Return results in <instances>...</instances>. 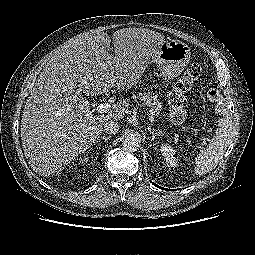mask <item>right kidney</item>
<instances>
[{
    "label": "right kidney",
    "mask_w": 255,
    "mask_h": 255,
    "mask_svg": "<svg viewBox=\"0 0 255 255\" xmlns=\"http://www.w3.org/2000/svg\"><path fill=\"white\" fill-rule=\"evenodd\" d=\"M89 161V158L88 157H81L80 159H79V164H86L87 162Z\"/></svg>",
    "instance_id": "obj_1"
}]
</instances>
